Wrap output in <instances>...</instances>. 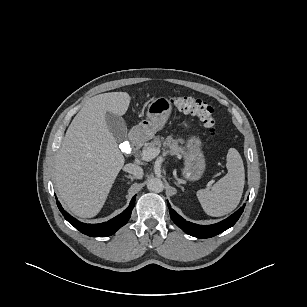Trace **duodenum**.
Segmentation results:
<instances>
[{
	"mask_svg": "<svg viewBox=\"0 0 307 307\" xmlns=\"http://www.w3.org/2000/svg\"><path fill=\"white\" fill-rule=\"evenodd\" d=\"M131 139H132L131 142L133 143L135 148H137V147H139L141 145V140H140V138L137 135L132 134L131 135Z\"/></svg>",
	"mask_w": 307,
	"mask_h": 307,
	"instance_id": "duodenum-1",
	"label": "duodenum"
}]
</instances>
